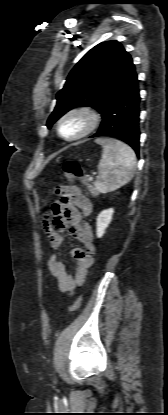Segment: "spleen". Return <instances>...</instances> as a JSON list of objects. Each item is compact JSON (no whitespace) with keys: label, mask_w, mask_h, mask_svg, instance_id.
<instances>
[{"label":"spleen","mask_w":168,"mask_h":415,"mask_svg":"<svg viewBox=\"0 0 168 415\" xmlns=\"http://www.w3.org/2000/svg\"><path fill=\"white\" fill-rule=\"evenodd\" d=\"M95 142L103 147L95 187L99 193L105 194L117 190L133 178L136 155L131 147L116 139H96Z\"/></svg>","instance_id":"1"}]
</instances>
